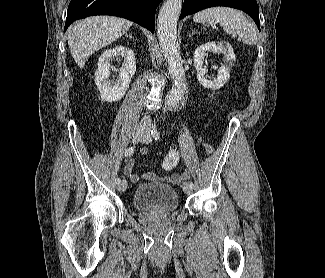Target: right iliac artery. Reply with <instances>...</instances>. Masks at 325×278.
Returning a JSON list of instances; mask_svg holds the SVG:
<instances>
[{
	"label": "right iliac artery",
	"mask_w": 325,
	"mask_h": 278,
	"mask_svg": "<svg viewBox=\"0 0 325 278\" xmlns=\"http://www.w3.org/2000/svg\"><path fill=\"white\" fill-rule=\"evenodd\" d=\"M134 147H129L128 149L125 150V156H131L134 153ZM115 182L119 184L121 182L120 178H116Z\"/></svg>",
	"instance_id": "obj_1"
}]
</instances>
